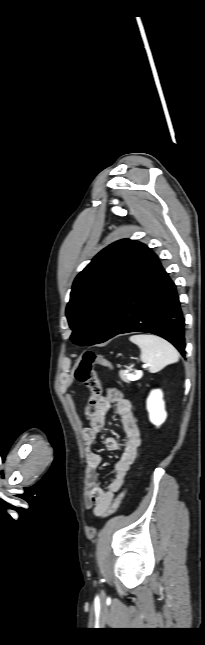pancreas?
<instances>
[{
  "label": "pancreas",
  "instance_id": "pancreas-1",
  "mask_svg": "<svg viewBox=\"0 0 205 645\" xmlns=\"http://www.w3.org/2000/svg\"><path fill=\"white\" fill-rule=\"evenodd\" d=\"M119 375H120V378H121L124 382H126V383H130V381H132V379L128 376L127 372H126V371H124V370H121V371L119 372ZM138 378H139V377H137L136 379H138ZM136 379H135V380H136Z\"/></svg>",
  "mask_w": 205,
  "mask_h": 645
}]
</instances>
